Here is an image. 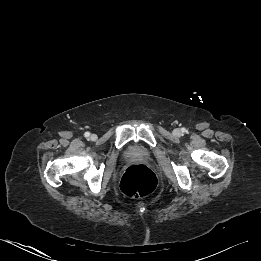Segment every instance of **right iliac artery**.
Returning <instances> with one entry per match:
<instances>
[{
	"label": "right iliac artery",
	"mask_w": 261,
	"mask_h": 261,
	"mask_svg": "<svg viewBox=\"0 0 261 261\" xmlns=\"http://www.w3.org/2000/svg\"><path fill=\"white\" fill-rule=\"evenodd\" d=\"M84 136H85L86 138H88V137L90 136V133H89V132H85Z\"/></svg>",
	"instance_id": "82829eb1"
}]
</instances>
